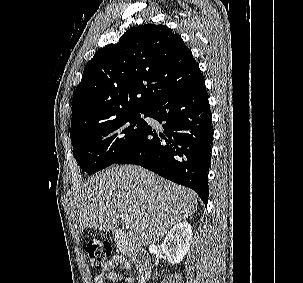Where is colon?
Returning <instances> with one entry per match:
<instances>
[{"label":"colon","instance_id":"obj_1","mask_svg":"<svg viewBox=\"0 0 303 283\" xmlns=\"http://www.w3.org/2000/svg\"><path fill=\"white\" fill-rule=\"evenodd\" d=\"M88 263L93 270H102L104 264L111 259L113 247L110 242L101 239H90L84 244Z\"/></svg>","mask_w":303,"mask_h":283}]
</instances>
